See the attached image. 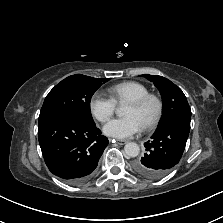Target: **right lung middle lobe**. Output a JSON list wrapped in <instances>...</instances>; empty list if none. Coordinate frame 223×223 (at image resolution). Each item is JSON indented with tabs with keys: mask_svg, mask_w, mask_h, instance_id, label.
Instances as JSON below:
<instances>
[{
	"mask_svg": "<svg viewBox=\"0 0 223 223\" xmlns=\"http://www.w3.org/2000/svg\"><path fill=\"white\" fill-rule=\"evenodd\" d=\"M107 79H97L82 74L69 76L58 83L46 96L39 115V122L58 114H73L94 123L90 100Z\"/></svg>",
	"mask_w": 223,
	"mask_h": 223,
	"instance_id": "right-lung-middle-lobe-1",
	"label": "right lung middle lobe"
}]
</instances>
